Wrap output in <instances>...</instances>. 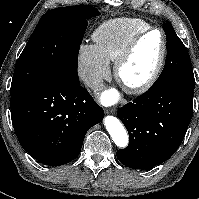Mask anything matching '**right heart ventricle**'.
Masks as SVG:
<instances>
[{"label": "right heart ventricle", "mask_w": 199, "mask_h": 199, "mask_svg": "<svg viewBox=\"0 0 199 199\" xmlns=\"http://www.w3.org/2000/svg\"><path fill=\"white\" fill-rule=\"evenodd\" d=\"M150 27L148 22L139 18L113 19L96 28L93 40L104 58L108 62H115L129 41Z\"/></svg>", "instance_id": "1"}]
</instances>
